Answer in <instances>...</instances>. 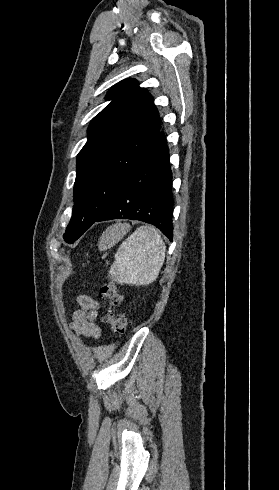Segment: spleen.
Instances as JSON below:
<instances>
[{"label":"spleen","mask_w":279,"mask_h":490,"mask_svg":"<svg viewBox=\"0 0 279 490\" xmlns=\"http://www.w3.org/2000/svg\"><path fill=\"white\" fill-rule=\"evenodd\" d=\"M130 230L129 224L107 228L99 242L100 252L109 250ZM166 246L156 228L140 226L121 244L110 268L112 282L149 286L159 276L164 264Z\"/></svg>","instance_id":"1"}]
</instances>
